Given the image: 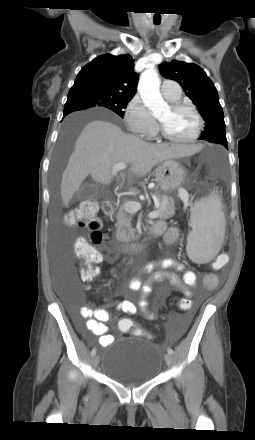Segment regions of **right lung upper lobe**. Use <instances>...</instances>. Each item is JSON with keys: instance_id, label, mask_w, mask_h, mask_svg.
I'll return each instance as SVG.
<instances>
[{"instance_id": "right-lung-upper-lobe-1", "label": "right lung upper lobe", "mask_w": 255, "mask_h": 440, "mask_svg": "<svg viewBox=\"0 0 255 440\" xmlns=\"http://www.w3.org/2000/svg\"><path fill=\"white\" fill-rule=\"evenodd\" d=\"M133 62L130 55L98 56L81 69L69 93L98 91L133 98L138 83Z\"/></svg>"}]
</instances>
